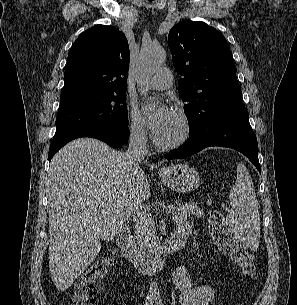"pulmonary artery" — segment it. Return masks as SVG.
Masks as SVG:
<instances>
[{"mask_svg": "<svg viewBox=\"0 0 297 305\" xmlns=\"http://www.w3.org/2000/svg\"><path fill=\"white\" fill-rule=\"evenodd\" d=\"M173 75L168 68H160L148 81V86L155 90H165L171 87Z\"/></svg>", "mask_w": 297, "mask_h": 305, "instance_id": "pulmonary-artery-1", "label": "pulmonary artery"}]
</instances>
